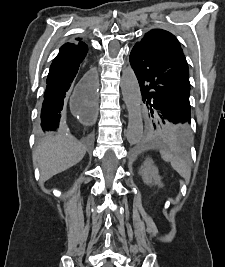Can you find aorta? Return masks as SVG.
I'll list each match as a JSON object with an SVG mask.
<instances>
[{
  "label": "aorta",
  "mask_w": 225,
  "mask_h": 267,
  "mask_svg": "<svg viewBox=\"0 0 225 267\" xmlns=\"http://www.w3.org/2000/svg\"><path fill=\"white\" fill-rule=\"evenodd\" d=\"M121 91L128 111L126 138L130 144H136L143 134L142 97L138 80L130 66L123 70Z\"/></svg>",
  "instance_id": "aorta-1"
}]
</instances>
